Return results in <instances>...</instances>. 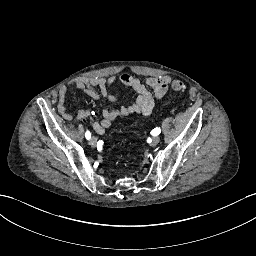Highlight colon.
<instances>
[{
  "label": "colon",
  "instance_id": "obj_1",
  "mask_svg": "<svg viewBox=\"0 0 256 256\" xmlns=\"http://www.w3.org/2000/svg\"><path fill=\"white\" fill-rule=\"evenodd\" d=\"M172 88L175 91H184L185 90V85L181 81H174L172 84Z\"/></svg>",
  "mask_w": 256,
  "mask_h": 256
}]
</instances>
